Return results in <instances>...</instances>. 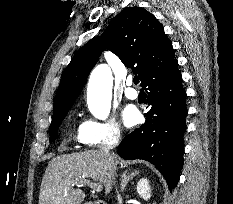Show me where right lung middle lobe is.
Segmentation results:
<instances>
[{
	"instance_id": "1",
	"label": "right lung middle lobe",
	"mask_w": 233,
	"mask_h": 204,
	"mask_svg": "<svg viewBox=\"0 0 233 204\" xmlns=\"http://www.w3.org/2000/svg\"><path fill=\"white\" fill-rule=\"evenodd\" d=\"M67 113L68 111L62 114L61 116L52 119V123L50 125V142L54 141L57 138L58 128Z\"/></svg>"
}]
</instances>
